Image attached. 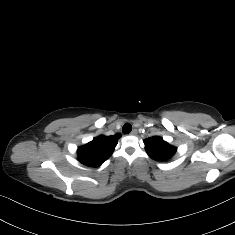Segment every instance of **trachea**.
I'll use <instances>...</instances> for the list:
<instances>
[{
	"instance_id": "trachea-1",
	"label": "trachea",
	"mask_w": 235,
	"mask_h": 235,
	"mask_svg": "<svg viewBox=\"0 0 235 235\" xmlns=\"http://www.w3.org/2000/svg\"><path fill=\"white\" fill-rule=\"evenodd\" d=\"M131 130H132V126H131V124H129V123H126V124L122 127V132H123L124 134L130 133Z\"/></svg>"
}]
</instances>
